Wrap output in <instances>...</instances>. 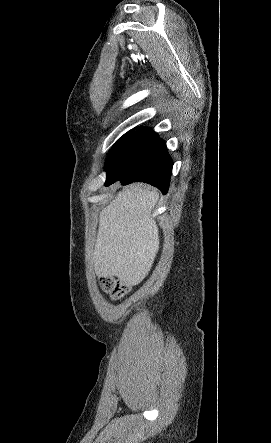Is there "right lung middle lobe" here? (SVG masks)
<instances>
[{
  "label": "right lung middle lobe",
  "instance_id": "obj_1",
  "mask_svg": "<svg viewBox=\"0 0 271 443\" xmlns=\"http://www.w3.org/2000/svg\"><path fill=\"white\" fill-rule=\"evenodd\" d=\"M134 130H131L127 132L125 135H123L111 148L110 153L107 157L106 164H105V170L108 169L113 162L117 159L124 143L129 138V136L132 134Z\"/></svg>",
  "mask_w": 271,
  "mask_h": 443
}]
</instances>
